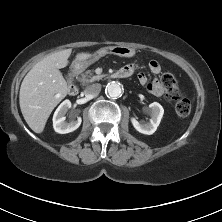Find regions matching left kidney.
<instances>
[{
    "label": "left kidney",
    "instance_id": "left-kidney-1",
    "mask_svg": "<svg viewBox=\"0 0 222 222\" xmlns=\"http://www.w3.org/2000/svg\"><path fill=\"white\" fill-rule=\"evenodd\" d=\"M149 114L151 115V119L148 123H139L136 118H131L134 128L138 132L146 135H151L156 131L163 117L164 109L159 103L153 102L149 105Z\"/></svg>",
    "mask_w": 222,
    "mask_h": 222
}]
</instances>
